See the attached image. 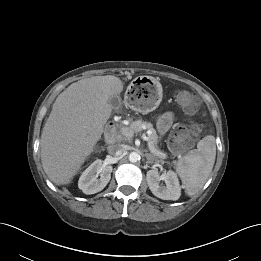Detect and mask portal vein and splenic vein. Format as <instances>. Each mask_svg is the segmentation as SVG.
Masks as SVG:
<instances>
[{
	"label": "portal vein and splenic vein",
	"instance_id": "1",
	"mask_svg": "<svg viewBox=\"0 0 261 261\" xmlns=\"http://www.w3.org/2000/svg\"><path fill=\"white\" fill-rule=\"evenodd\" d=\"M122 135H124L125 137H132L133 133L131 131H129L127 128L123 127L121 129ZM144 140L148 141V146L149 149L154 150V148L151 146L150 142H149V137H144Z\"/></svg>",
	"mask_w": 261,
	"mask_h": 261
}]
</instances>
